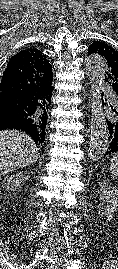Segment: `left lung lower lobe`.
<instances>
[{
	"mask_svg": "<svg viewBox=\"0 0 118 269\" xmlns=\"http://www.w3.org/2000/svg\"><path fill=\"white\" fill-rule=\"evenodd\" d=\"M110 107L113 115L112 121H108L109 141L105 155L118 152V103Z\"/></svg>",
	"mask_w": 118,
	"mask_h": 269,
	"instance_id": "left-lung-lower-lobe-1",
	"label": "left lung lower lobe"
}]
</instances>
